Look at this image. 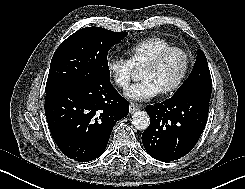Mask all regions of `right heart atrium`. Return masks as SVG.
Segmentation results:
<instances>
[{"instance_id": "d8ad5b80", "label": "right heart atrium", "mask_w": 245, "mask_h": 189, "mask_svg": "<svg viewBox=\"0 0 245 189\" xmlns=\"http://www.w3.org/2000/svg\"><path fill=\"white\" fill-rule=\"evenodd\" d=\"M106 69L117 87L121 89L128 88L134 73V67L128 59L123 57L108 58Z\"/></svg>"}]
</instances>
